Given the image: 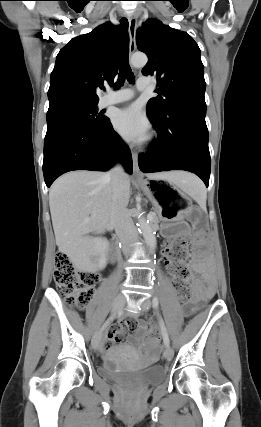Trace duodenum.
I'll return each instance as SVG.
<instances>
[{
    "label": "duodenum",
    "mask_w": 261,
    "mask_h": 427,
    "mask_svg": "<svg viewBox=\"0 0 261 427\" xmlns=\"http://www.w3.org/2000/svg\"><path fill=\"white\" fill-rule=\"evenodd\" d=\"M116 258H117V249L114 248L113 251H112V260L115 261Z\"/></svg>",
    "instance_id": "duodenum-1"
}]
</instances>
